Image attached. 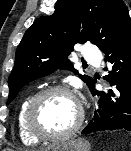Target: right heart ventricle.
Here are the masks:
<instances>
[{
	"label": "right heart ventricle",
	"instance_id": "right-heart-ventricle-1",
	"mask_svg": "<svg viewBox=\"0 0 131 151\" xmlns=\"http://www.w3.org/2000/svg\"><path fill=\"white\" fill-rule=\"evenodd\" d=\"M32 94L27 95L21 102L17 113V131L21 141L26 145L37 144L39 140L33 138L25 127L24 117L27 106L32 98Z\"/></svg>",
	"mask_w": 131,
	"mask_h": 151
}]
</instances>
